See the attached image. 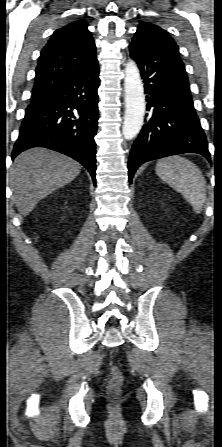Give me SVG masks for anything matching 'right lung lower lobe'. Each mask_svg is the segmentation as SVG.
Masks as SVG:
<instances>
[{
  "label": "right lung lower lobe",
  "instance_id": "98d812e1",
  "mask_svg": "<svg viewBox=\"0 0 222 447\" xmlns=\"http://www.w3.org/2000/svg\"><path fill=\"white\" fill-rule=\"evenodd\" d=\"M99 67L97 60L81 74L27 107L12 160L22 151L45 147L72 157L96 184Z\"/></svg>",
  "mask_w": 222,
  "mask_h": 447
}]
</instances>
